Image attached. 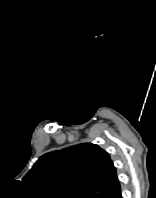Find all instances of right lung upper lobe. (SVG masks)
<instances>
[{
	"label": "right lung upper lobe",
	"mask_w": 156,
	"mask_h": 198,
	"mask_svg": "<svg viewBox=\"0 0 156 198\" xmlns=\"http://www.w3.org/2000/svg\"><path fill=\"white\" fill-rule=\"evenodd\" d=\"M23 181L41 198H116L121 193L109 154L92 143L41 156Z\"/></svg>",
	"instance_id": "right-lung-upper-lobe-1"
}]
</instances>
